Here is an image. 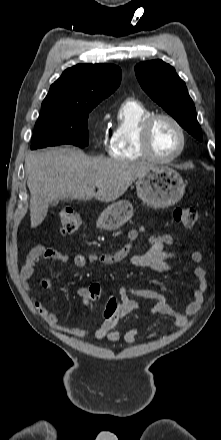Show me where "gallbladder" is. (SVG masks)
Returning a JSON list of instances; mask_svg holds the SVG:
<instances>
[{
  "label": "gallbladder",
  "mask_w": 221,
  "mask_h": 440,
  "mask_svg": "<svg viewBox=\"0 0 221 440\" xmlns=\"http://www.w3.org/2000/svg\"><path fill=\"white\" fill-rule=\"evenodd\" d=\"M59 200H54L50 204L51 206H56L58 204Z\"/></svg>",
  "instance_id": "obj_1"
}]
</instances>
